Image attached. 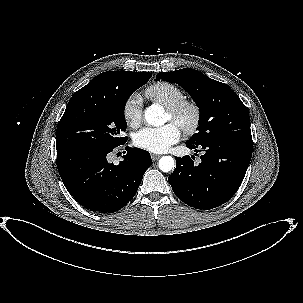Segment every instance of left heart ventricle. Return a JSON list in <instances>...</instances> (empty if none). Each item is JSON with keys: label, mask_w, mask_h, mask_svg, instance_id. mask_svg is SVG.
I'll use <instances>...</instances> for the list:
<instances>
[{"label": "left heart ventricle", "mask_w": 303, "mask_h": 303, "mask_svg": "<svg viewBox=\"0 0 303 303\" xmlns=\"http://www.w3.org/2000/svg\"><path fill=\"white\" fill-rule=\"evenodd\" d=\"M180 119L184 120V121H188L190 119V113L188 111L182 113ZM168 121H172L173 123H175L176 125H178L177 121L171 119V117L169 116V114L166 112L165 113V117H164V122H168Z\"/></svg>", "instance_id": "obj_1"}]
</instances>
